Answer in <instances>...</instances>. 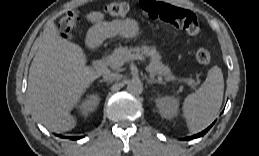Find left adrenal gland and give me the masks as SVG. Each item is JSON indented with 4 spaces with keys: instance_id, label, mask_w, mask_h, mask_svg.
<instances>
[{
    "instance_id": "obj_1",
    "label": "left adrenal gland",
    "mask_w": 259,
    "mask_h": 156,
    "mask_svg": "<svg viewBox=\"0 0 259 156\" xmlns=\"http://www.w3.org/2000/svg\"><path fill=\"white\" fill-rule=\"evenodd\" d=\"M147 83L148 84H153V83L164 84V82L162 81V79L160 77L158 79H155L153 77L147 78Z\"/></svg>"
}]
</instances>
